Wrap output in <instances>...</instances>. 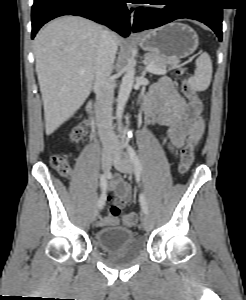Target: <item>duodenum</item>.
<instances>
[{"label": "duodenum", "instance_id": "1", "mask_svg": "<svg viewBox=\"0 0 246 300\" xmlns=\"http://www.w3.org/2000/svg\"><path fill=\"white\" fill-rule=\"evenodd\" d=\"M88 110L93 117H98L102 113V108L95 103L91 104Z\"/></svg>", "mask_w": 246, "mask_h": 300}]
</instances>
